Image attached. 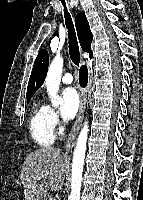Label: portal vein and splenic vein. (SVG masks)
I'll use <instances>...</instances> for the list:
<instances>
[{
  "instance_id": "18ae733b",
  "label": "portal vein and splenic vein",
  "mask_w": 143,
  "mask_h": 200,
  "mask_svg": "<svg viewBox=\"0 0 143 200\" xmlns=\"http://www.w3.org/2000/svg\"><path fill=\"white\" fill-rule=\"evenodd\" d=\"M47 174H48V171L45 170V171H44V175H47ZM49 200H54V199L50 198Z\"/></svg>"
}]
</instances>
